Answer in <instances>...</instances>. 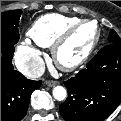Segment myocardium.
Wrapping results in <instances>:
<instances>
[{
    "label": "myocardium",
    "mask_w": 121,
    "mask_h": 121,
    "mask_svg": "<svg viewBox=\"0 0 121 121\" xmlns=\"http://www.w3.org/2000/svg\"><path fill=\"white\" fill-rule=\"evenodd\" d=\"M84 24H94V22L90 19H80L79 21L69 26L66 30H64L51 46L53 61L60 70H63L66 72L77 70L89 60V58L96 50L101 40V28L98 24H95L96 31H97L96 38L92 43V45L90 46V48L86 51V53L82 57H80L79 59L73 62H63L60 59V56H59L60 49L64 46V44L67 43V41L71 38L74 32Z\"/></svg>",
    "instance_id": "myocardium-1"
}]
</instances>
